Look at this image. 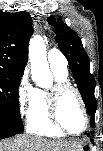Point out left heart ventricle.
Wrapping results in <instances>:
<instances>
[{"label": "left heart ventricle", "instance_id": "1", "mask_svg": "<svg viewBox=\"0 0 103 151\" xmlns=\"http://www.w3.org/2000/svg\"><path fill=\"white\" fill-rule=\"evenodd\" d=\"M61 122L71 131L80 132L84 128V114L82 107L73 93L65 94L59 106Z\"/></svg>", "mask_w": 103, "mask_h": 151}]
</instances>
